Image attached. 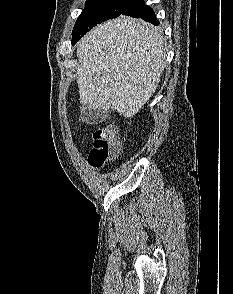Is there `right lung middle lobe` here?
I'll return each mask as SVG.
<instances>
[{
	"instance_id": "1",
	"label": "right lung middle lobe",
	"mask_w": 233,
	"mask_h": 294,
	"mask_svg": "<svg viewBox=\"0 0 233 294\" xmlns=\"http://www.w3.org/2000/svg\"><path fill=\"white\" fill-rule=\"evenodd\" d=\"M131 0H87L85 9L73 28V39L80 37L95 25L118 17Z\"/></svg>"
}]
</instances>
